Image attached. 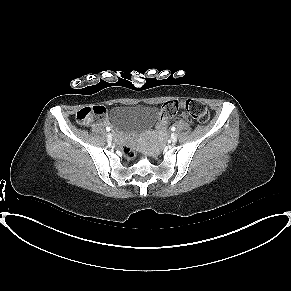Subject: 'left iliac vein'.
<instances>
[{
    "label": "left iliac vein",
    "instance_id": "4c4485c4",
    "mask_svg": "<svg viewBox=\"0 0 291 291\" xmlns=\"http://www.w3.org/2000/svg\"><path fill=\"white\" fill-rule=\"evenodd\" d=\"M171 141H172L173 143H175V142L177 141V135H176V134H172V135H171Z\"/></svg>",
    "mask_w": 291,
    "mask_h": 291
}]
</instances>
